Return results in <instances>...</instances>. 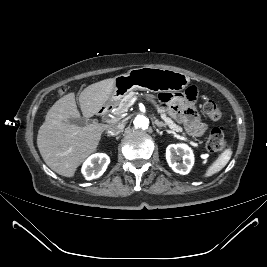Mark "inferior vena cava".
<instances>
[{"label": "inferior vena cava", "mask_w": 267, "mask_h": 267, "mask_svg": "<svg viewBox=\"0 0 267 267\" xmlns=\"http://www.w3.org/2000/svg\"><path fill=\"white\" fill-rule=\"evenodd\" d=\"M124 129V124L120 122H114L108 126V133L110 135H117Z\"/></svg>", "instance_id": "inferior-vena-cava-1"}]
</instances>
